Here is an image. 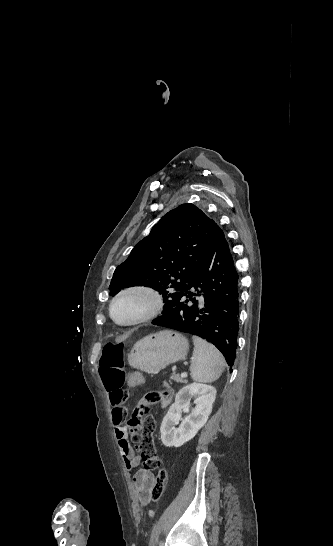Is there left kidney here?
<instances>
[{"mask_svg":"<svg viewBox=\"0 0 333 546\" xmlns=\"http://www.w3.org/2000/svg\"><path fill=\"white\" fill-rule=\"evenodd\" d=\"M215 397V388L205 384L192 383L179 390L161 423L162 443L168 447H180L191 440L207 422ZM192 398L195 399V408L182 420L180 426L175 428L177 422L181 420L182 410L190 408Z\"/></svg>","mask_w":333,"mask_h":546,"instance_id":"left-kidney-1","label":"left kidney"}]
</instances>
